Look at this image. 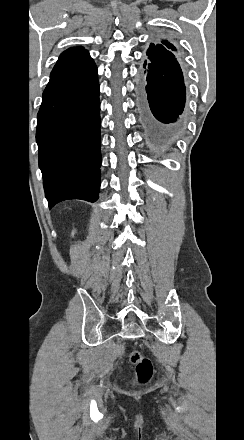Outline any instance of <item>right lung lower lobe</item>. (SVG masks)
<instances>
[{"instance_id": "98d812e1", "label": "right lung lower lobe", "mask_w": 244, "mask_h": 440, "mask_svg": "<svg viewBox=\"0 0 244 440\" xmlns=\"http://www.w3.org/2000/svg\"><path fill=\"white\" fill-rule=\"evenodd\" d=\"M99 83L95 63L54 68L38 112L36 141L49 208L95 202L100 188Z\"/></svg>"}]
</instances>
